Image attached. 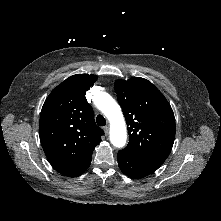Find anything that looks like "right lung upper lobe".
<instances>
[{
	"instance_id": "1",
	"label": "right lung upper lobe",
	"mask_w": 221,
	"mask_h": 221,
	"mask_svg": "<svg viewBox=\"0 0 221 221\" xmlns=\"http://www.w3.org/2000/svg\"><path fill=\"white\" fill-rule=\"evenodd\" d=\"M96 75L76 74L53 89L41 110L39 136L51 166L68 177L85 172L104 131L94 120L86 91Z\"/></svg>"
}]
</instances>
